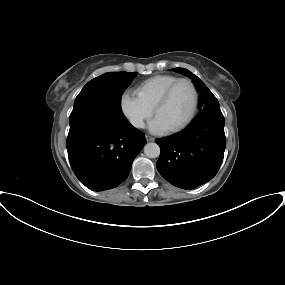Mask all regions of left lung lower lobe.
Masks as SVG:
<instances>
[{"label": "left lung lower lobe", "instance_id": "left-lung-lower-lobe-1", "mask_svg": "<svg viewBox=\"0 0 285 285\" xmlns=\"http://www.w3.org/2000/svg\"><path fill=\"white\" fill-rule=\"evenodd\" d=\"M157 169L172 185L192 189L211 180L223 161L226 139L222 113L196 117L184 131L157 139Z\"/></svg>", "mask_w": 285, "mask_h": 285}]
</instances>
